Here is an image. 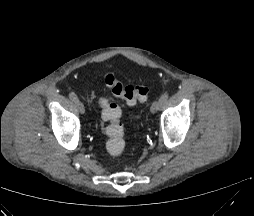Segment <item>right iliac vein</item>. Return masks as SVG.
Returning <instances> with one entry per match:
<instances>
[{"label": "right iliac vein", "mask_w": 254, "mask_h": 216, "mask_svg": "<svg viewBox=\"0 0 254 216\" xmlns=\"http://www.w3.org/2000/svg\"><path fill=\"white\" fill-rule=\"evenodd\" d=\"M75 102V106L78 110V112L80 114H84L85 113V108H84V105L81 101L77 100V101H74Z\"/></svg>", "instance_id": "right-iliac-vein-1"}]
</instances>
